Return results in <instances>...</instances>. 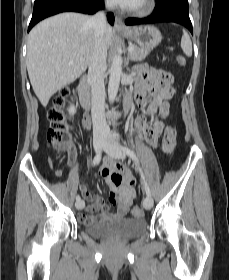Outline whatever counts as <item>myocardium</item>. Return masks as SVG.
Segmentation results:
<instances>
[{
  "label": "myocardium",
  "mask_w": 229,
  "mask_h": 280,
  "mask_svg": "<svg viewBox=\"0 0 229 280\" xmlns=\"http://www.w3.org/2000/svg\"><path fill=\"white\" fill-rule=\"evenodd\" d=\"M155 8V0H142L138 6L128 8V11L136 16H145Z\"/></svg>",
  "instance_id": "myocardium-1"
}]
</instances>
